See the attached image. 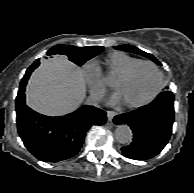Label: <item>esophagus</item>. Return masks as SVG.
I'll use <instances>...</instances> for the list:
<instances>
[{
	"mask_svg": "<svg viewBox=\"0 0 194 193\" xmlns=\"http://www.w3.org/2000/svg\"><path fill=\"white\" fill-rule=\"evenodd\" d=\"M116 112L115 111H108L107 112V118H108V120L109 121H112L113 120V118L116 116Z\"/></svg>",
	"mask_w": 194,
	"mask_h": 193,
	"instance_id": "esophagus-1",
	"label": "esophagus"
}]
</instances>
